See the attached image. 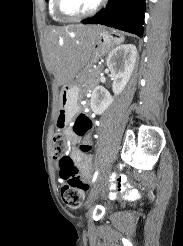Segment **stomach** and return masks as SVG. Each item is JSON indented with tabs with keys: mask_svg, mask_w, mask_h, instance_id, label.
Returning <instances> with one entry per match:
<instances>
[{
	"mask_svg": "<svg viewBox=\"0 0 183 246\" xmlns=\"http://www.w3.org/2000/svg\"><path fill=\"white\" fill-rule=\"evenodd\" d=\"M123 39V35L117 31L108 30L104 27L100 28L94 39L90 59H96L97 57L103 55L113 45L121 43ZM89 61L81 68V81L85 80L87 77ZM79 96L80 89L76 85H65L62 88L60 92V108L56 121L57 127H67L76 113L79 111Z\"/></svg>",
	"mask_w": 183,
	"mask_h": 246,
	"instance_id": "obj_1",
	"label": "stomach"
}]
</instances>
